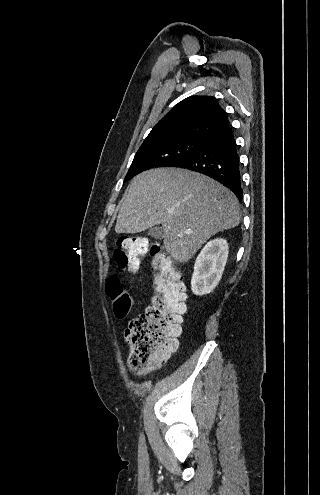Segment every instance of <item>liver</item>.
I'll list each match as a JSON object with an SVG mask.
<instances>
[{
  "label": "liver",
  "mask_w": 320,
  "mask_h": 495,
  "mask_svg": "<svg viewBox=\"0 0 320 495\" xmlns=\"http://www.w3.org/2000/svg\"><path fill=\"white\" fill-rule=\"evenodd\" d=\"M239 212L237 197L217 181L189 170L158 168L133 179L115 231L135 234L161 224L166 251L187 262L210 237L238 226Z\"/></svg>",
  "instance_id": "liver-1"
}]
</instances>
